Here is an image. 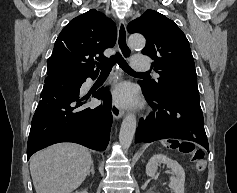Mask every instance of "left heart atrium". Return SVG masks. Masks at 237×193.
<instances>
[{
	"mask_svg": "<svg viewBox=\"0 0 237 193\" xmlns=\"http://www.w3.org/2000/svg\"><path fill=\"white\" fill-rule=\"evenodd\" d=\"M113 100L121 107H128L136 103L134 90L129 85H120L113 92Z\"/></svg>",
	"mask_w": 237,
	"mask_h": 193,
	"instance_id": "1",
	"label": "left heart atrium"
}]
</instances>
